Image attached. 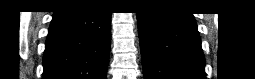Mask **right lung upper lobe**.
I'll list each match as a JSON object with an SVG mask.
<instances>
[{
    "label": "right lung upper lobe",
    "instance_id": "1",
    "mask_svg": "<svg viewBox=\"0 0 255 79\" xmlns=\"http://www.w3.org/2000/svg\"><path fill=\"white\" fill-rule=\"evenodd\" d=\"M86 2H88V1H68V2H65L66 3V5H69V4H77V3H86Z\"/></svg>",
    "mask_w": 255,
    "mask_h": 79
}]
</instances>
